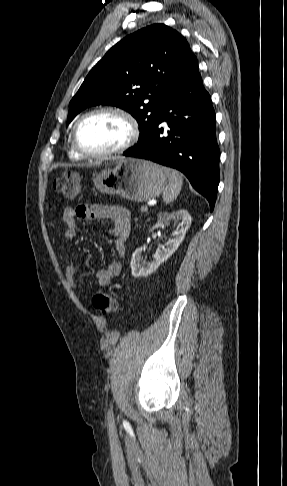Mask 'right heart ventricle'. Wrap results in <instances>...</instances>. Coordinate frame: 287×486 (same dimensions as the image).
Returning a JSON list of instances; mask_svg holds the SVG:
<instances>
[{"label": "right heart ventricle", "mask_w": 287, "mask_h": 486, "mask_svg": "<svg viewBox=\"0 0 287 486\" xmlns=\"http://www.w3.org/2000/svg\"><path fill=\"white\" fill-rule=\"evenodd\" d=\"M69 155H70L71 157H73V158H80V157H81V155H80V154H78V153L75 151V149L73 148V145H72V144L70 145V148H69Z\"/></svg>", "instance_id": "e07e8e85"}]
</instances>
